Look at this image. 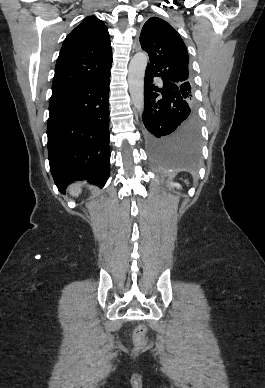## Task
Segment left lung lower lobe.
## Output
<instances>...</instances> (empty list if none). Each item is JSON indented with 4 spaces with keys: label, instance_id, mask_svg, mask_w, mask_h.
Instances as JSON below:
<instances>
[{
    "label": "left lung lower lobe",
    "instance_id": "obj_1",
    "mask_svg": "<svg viewBox=\"0 0 265 388\" xmlns=\"http://www.w3.org/2000/svg\"><path fill=\"white\" fill-rule=\"evenodd\" d=\"M155 75L145 72L143 122L152 164L161 170H195L200 159V132L193 106L181 88L163 80L153 84Z\"/></svg>",
    "mask_w": 265,
    "mask_h": 388
}]
</instances>
